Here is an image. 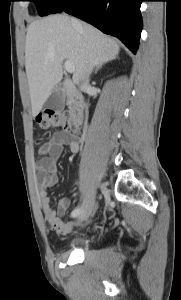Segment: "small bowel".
<instances>
[{
	"label": "small bowel",
	"mask_w": 181,
	"mask_h": 300,
	"mask_svg": "<svg viewBox=\"0 0 181 300\" xmlns=\"http://www.w3.org/2000/svg\"><path fill=\"white\" fill-rule=\"evenodd\" d=\"M65 146H68L72 153H77L80 148L79 143L66 134L62 132L52 134L49 140L39 148L40 159L36 174V183L39 186L38 198L41 203L43 216L48 225L60 235L69 233L73 227L72 223L64 222L61 219V216L68 210L70 202L63 199L58 203L57 209H54L50 204L48 189L58 183L57 160Z\"/></svg>",
	"instance_id": "1"
}]
</instances>
